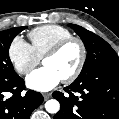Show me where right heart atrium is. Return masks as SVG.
<instances>
[{
  "label": "right heart atrium",
  "mask_w": 119,
  "mask_h": 119,
  "mask_svg": "<svg viewBox=\"0 0 119 119\" xmlns=\"http://www.w3.org/2000/svg\"><path fill=\"white\" fill-rule=\"evenodd\" d=\"M9 59L20 75H28L40 62L32 46L21 36H16L8 48Z\"/></svg>",
  "instance_id": "1"
}]
</instances>
